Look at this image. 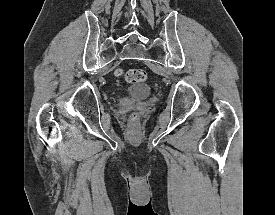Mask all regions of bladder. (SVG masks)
Returning <instances> with one entry per match:
<instances>
[{"label":"bladder","mask_w":275,"mask_h":215,"mask_svg":"<svg viewBox=\"0 0 275 215\" xmlns=\"http://www.w3.org/2000/svg\"><path fill=\"white\" fill-rule=\"evenodd\" d=\"M130 95L138 98H146L151 93V88L146 85L134 84L128 89Z\"/></svg>","instance_id":"1"}]
</instances>
